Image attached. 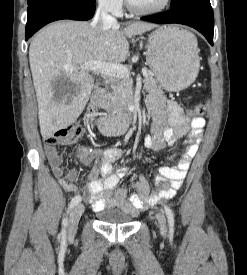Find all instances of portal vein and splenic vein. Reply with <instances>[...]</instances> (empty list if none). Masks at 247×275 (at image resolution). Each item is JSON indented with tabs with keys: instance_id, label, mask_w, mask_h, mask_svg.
I'll use <instances>...</instances> for the list:
<instances>
[{
	"instance_id": "18ae733b",
	"label": "portal vein and splenic vein",
	"mask_w": 247,
	"mask_h": 275,
	"mask_svg": "<svg viewBox=\"0 0 247 275\" xmlns=\"http://www.w3.org/2000/svg\"><path fill=\"white\" fill-rule=\"evenodd\" d=\"M67 70L72 71V67L65 66ZM80 69L83 71H93L96 73H100L105 76H112L117 78H128L129 77V69L121 64H109L103 63L101 61H93L80 66ZM142 74L144 77L148 76V71L146 69H142Z\"/></svg>"
}]
</instances>
